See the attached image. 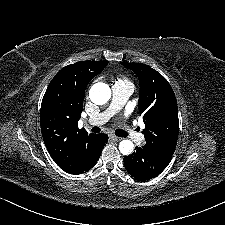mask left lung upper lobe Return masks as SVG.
<instances>
[{
    "mask_svg": "<svg viewBox=\"0 0 225 225\" xmlns=\"http://www.w3.org/2000/svg\"><path fill=\"white\" fill-rule=\"evenodd\" d=\"M140 80L139 111L143 116L146 147L173 155L179 132L175 94L156 70L141 63L122 62Z\"/></svg>",
    "mask_w": 225,
    "mask_h": 225,
    "instance_id": "1",
    "label": "left lung upper lobe"
}]
</instances>
